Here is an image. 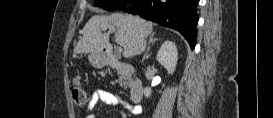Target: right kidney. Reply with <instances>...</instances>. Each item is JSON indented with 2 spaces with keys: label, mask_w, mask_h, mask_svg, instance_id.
<instances>
[{
  "label": "right kidney",
  "mask_w": 273,
  "mask_h": 118,
  "mask_svg": "<svg viewBox=\"0 0 273 118\" xmlns=\"http://www.w3.org/2000/svg\"><path fill=\"white\" fill-rule=\"evenodd\" d=\"M156 58L157 61L167 69L169 74H173L178 61V52L175 43L172 41H165L160 47ZM144 95L145 97H150L151 89L148 87L145 88Z\"/></svg>",
  "instance_id": "ca27d5eb"
}]
</instances>
